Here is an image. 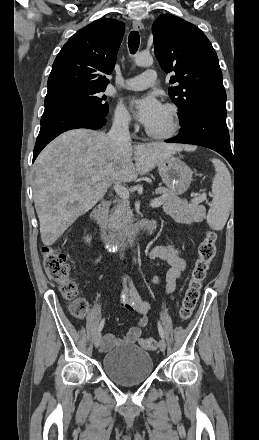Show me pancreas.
I'll use <instances>...</instances> for the list:
<instances>
[{
	"mask_svg": "<svg viewBox=\"0 0 259 440\" xmlns=\"http://www.w3.org/2000/svg\"><path fill=\"white\" fill-rule=\"evenodd\" d=\"M161 194L158 200L162 202L163 210L166 214L183 221H200L205 217V207L200 205L194 198L191 202L180 199L177 195L165 187H159L155 191ZM133 220L132 211L126 200L120 201L111 214L107 222L109 229H126Z\"/></svg>",
	"mask_w": 259,
	"mask_h": 440,
	"instance_id": "pancreas-1",
	"label": "pancreas"
}]
</instances>
